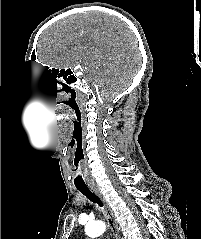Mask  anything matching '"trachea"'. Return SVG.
<instances>
[{"label": "trachea", "mask_w": 201, "mask_h": 239, "mask_svg": "<svg viewBox=\"0 0 201 239\" xmlns=\"http://www.w3.org/2000/svg\"><path fill=\"white\" fill-rule=\"evenodd\" d=\"M77 190H79L84 196H86L91 202L97 203L100 207L103 206L101 200L93 194L87 186H76Z\"/></svg>", "instance_id": "trachea-1"}]
</instances>
